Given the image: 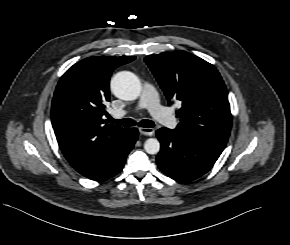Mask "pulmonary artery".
Listing matches in <instances>:
<instances>
[{
    "mask_svg": "<svg viewBox=\"0 0 290 245\" xmlns=\"http://www.w3.org/2000/svg\"><path fill=\"white\" fill-rule=\"evenodd\" d=\"M146 108L151 115L164 126L173 129L177 125L175 116L170 110L160 105L157 92L154 86L148 82L143 84L142 92L136 109ZM128 112L126 110H117L112 112L114 118H122Z\"/></svg>",
    "mask_w": 290,
    "mask_h": 245,
    "instance_id": "1",
    "label": "pulmonary artery"
}]
</instances>
